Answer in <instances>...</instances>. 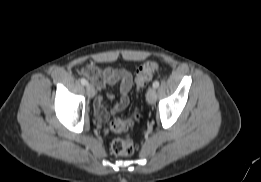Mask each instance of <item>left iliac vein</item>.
Here are the masks:
<instances>
[{
    "label": "left iliac vein",
    "mask_w": 261,
    "mask_h": 182,
    "mask_svg": "<svg viewBox=\"0 0 261 182\" xmlns=\"http://www.w3.org/2000/svg\"><path fill=\"white\" fill-rule=\"evenodd\" d=\"M156 97H157V95H156L155 88L148 89L147 94H146V99L150 104H153L156 101Z\"/></svg>",
    "instance_id": "left-iliac-vein-1"
}]
</instances>
